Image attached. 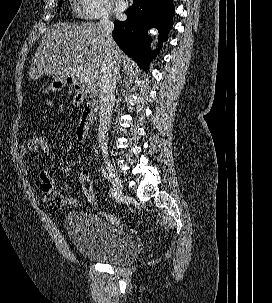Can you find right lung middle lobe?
Here are the masks:
<instances>
[{
  "label": "right lung middle lobe",
  "mask_w": 272,
  "mask_h": 303,
  "mask_svg": "<svg viewBox=\"0 0 272 303\" xmlns=\"http://www.w3.org/2000/svg\"><path fill=\"white\" fill-rule=\"evenodd\" d=\"M62 1H63V0H60V2H59V6H61V5H62ZM58 11H59V10H58Z\"/></svg>",
  "instance_id": "1"
}]
</instances>
